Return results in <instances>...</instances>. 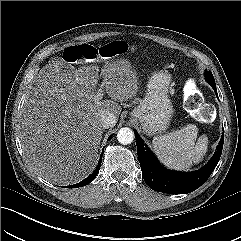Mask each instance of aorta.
<instances>
[{
  "instance_id": "aorta-1",
  "label": "aorta",
  "mask_w": 241,
  "mask_h": 241,
  "mask_svg": "<svg viewBox=\"0 0 241 241\" xmlns=\"http://www.w3.org/2000/svg\"><path fill=\"white\" fill-rule=\"evenodd\" d=\"M117 140L123 145L131 144L134 140V132L128 127H123L117 133Z\"/></svg>"
}]
</instances>
